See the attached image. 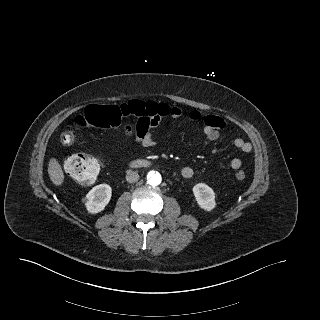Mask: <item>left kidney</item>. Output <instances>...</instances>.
<instances>
[{"instance_id": "left-kidney-1", "label": "left kidney", "mask_w": 320, "mask_h": 320, "mask_svg": "<svg viewBox=\"0 0 320 320\" xmlns=\"http://www.w3.org/2000/svg\"><path fill=\"white\" fill-rule=\"evenodd\" d=\"M192 190L200 208L206 211H211L215 208V193L212 188L204 183H198Z\"/></svg>"}]
</instances>
